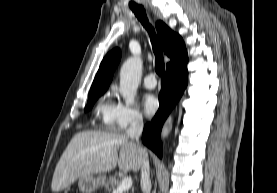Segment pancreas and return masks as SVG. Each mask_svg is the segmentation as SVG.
<instances>
[{"label": "pancreas", "mask_w": 277, "mask_h": 193, "mask_svg": "<svg viewBox=\"0 0 277 193\" xmlns=\"http://www.w3.org/2000/svg\"><path fill=\"white\" fill-rule=\"evenodd\" d=\"M121 180L115 176H110L108 184L110 185V190H115L120 185Z\"/></svg>", "instance_id": "obj_1"}]
</instances>
